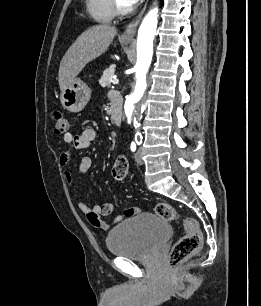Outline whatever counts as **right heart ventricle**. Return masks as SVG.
I'll list each match as a JSON object with an SVG mask.
<instances>
[{"label": "right heart ventricle", "mask_w": 261, "mask_h": 306, "mask_svg": "<svg viewBox=\"0 0 261 306\" xmlns=\"http://www.w3.org/2000/svg\"><path fill=\"white\" fill-rule=\"evenodd\" d=\"M86 9L94 20L101 23H108L115 16L110 0H86Z\"/></svg>", "instance_id": "right-heart-ventricle-1"}]
</instances>
